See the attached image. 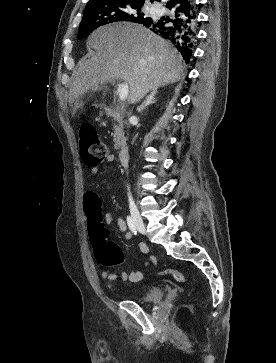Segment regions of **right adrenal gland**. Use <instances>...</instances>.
<instances>
[{
  "label": "right adrenal gland",
  "instance_id": "2a0ac1e0",
  "mask_svg": "<svg viewBox=\"0 0 276 363\" xmlns=\"http://www.w3.org/2000/svg\"><path fill=\"white\" fill-rule=\"evenodd\" d=\"M157 89L152 90L150 94L146 97V100L137 108L138 113H141L147 106L156 102L155 96L157 94Z\"/></svg>",
  "mask_w": 276,
  "mask_h": 363
}]
</instances>
